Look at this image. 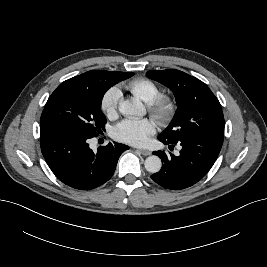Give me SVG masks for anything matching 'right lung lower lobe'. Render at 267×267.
I'll list each match as a JSON object with an SVG mask.
<instances>
[{
	"mask_svg": "<svg viewBox=\"0 0 267 267\" xmlns=\"http://www.w3.org/2000/svg\"><path fill=\"white\" fill-rule=\"evenodd\" d=\"M88 137L48 123L40 125L41 151L54 175L64 184L91 190L113 175L120 155L128 146L114 142L94 153Z\"/></svg>",
	"mask_w": 267,
	"mask_h": 267,
	"instance_id": "1",
	"label": "right lung lower lobe"
}]
</instances>
